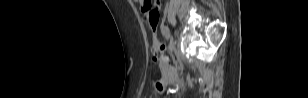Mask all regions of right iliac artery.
Instances as JSON below:
<instances>
[{"label":"right iliac artery","mask_w":308,"mask_h":98,"mask_svg":"<svg viewBox=\"0 0 308 98\" xmlns=\"http://www.w3.org/2000/svg\"><path fill=\"white\" fill-rule=\"evenodd\" d=\"M161 32H162L163 36H164L166 39H169V37H170V32H169V29H168L166 26H162V27H161Z\"/></svg>","instance_id":"1"}]
</instances>
